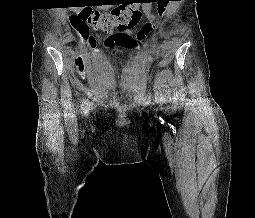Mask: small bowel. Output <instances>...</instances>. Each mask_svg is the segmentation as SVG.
Listing matches in <instances>:
<instances>
[{
	"instance_id": "1",
	"label": "small bowel",
	"mask_w": 255,
	"mask_h": 218,
	"mask_svg": "<svg viewBox=\"0 0 255 218\" xmlns=\"http://www.w3.org/2000/svg\"><path fill=\"white\" fill-rule=\"evenodd\" d=\"M145 11H146V14H147V17L148 19L151 21V22H155V17L154 15L150 12L149 8L148 7H144ZM163 7H161L159 9L160 13L162 14L163 13ZM133 32V29L132 30H129L128 33H132ZM111 36H109L108 38H110ZM108 38L105 40V45H106V41L108 40Z\"/></svg>"
}]
</instances>
